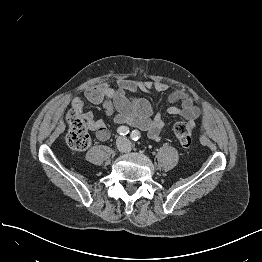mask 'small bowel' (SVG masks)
I'll list each match as a JSON object with an SVG mask.
<instances>
[{"instance_id": "obj_1", "label": "small bowel", "mask_w": 262, "mask_h": 262, "mask_svg": "<svg viewBox=\"0 0 262 262\" xmlns=\"http://www.w3.org/2000/svg\"><path fill=\"white\" fill-rule=\"evenodd\" d=\"M167 88L168 84L163 81L122 79L117 89L108 84L88 87L85 97L91 104H102L106 116L114 124L119 126L130 125L145 130L153 141L161 142L165 127L163 116L155 111L154 105L148 99L133 97L131 93L141 90L153 95L163 92ZM170 101L180 102V105L169 106L166 109L168 115L178 116L193 124L201 118V109L185 90L174 91L170 95ZM71 105L79 115L85 118L88 128L95 132L98 140L106 141L109 139L110 134L105 122L93 119L90 112L84 110V103L80 98H74Z\"/></svg>"}]
</instances>
